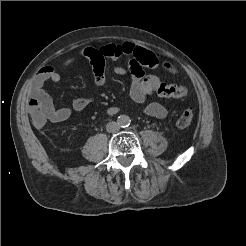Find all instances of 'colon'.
I'll use <instances>...</instances> for the list:
<instances>
[{"label": "colon", "mask_w": 246, "mask_h": 246, "mask_svg": "<svg viewBox=\"0 0 246 246\" xmlns=\"http://www.w3.org/2000/svg\"><path fill=\"white\" fill-rule=\"evenodd\" d=\"M132 59L135 65L143 70L162 66L169 72L175 71L170 63L159 60L154 53L141 47L135 48ZM186 93L187 90L183 85L172 83L163 82L154 89V94L160 97L182 98ZM28 108L32 121L37 126H42L48 120L52 109L47 101L35 96L30 98ZM192 120L193 112L186 109L179 115L177 125L180 128H185L191 124Z\"/></svg>", "instance_id": "obj_1"}]
</instances>
